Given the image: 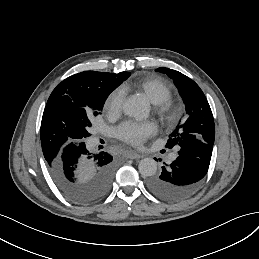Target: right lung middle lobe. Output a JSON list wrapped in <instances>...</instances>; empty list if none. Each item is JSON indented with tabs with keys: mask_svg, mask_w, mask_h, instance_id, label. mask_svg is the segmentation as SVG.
Listing matches in <instances>:
<instances>
[{
	"mask_svg": "<svg viewBox=\"0 0 259 259\" xmlns=\"http://www.w3.org/2000/svg\"><path fill=\"white\" fill-rule=\"evenodd\" d=\"M112 91V89H108L95 95L92 100V108L86 112L81 122L67 133L70 144L84 142V140L90 136L89 128L92 125L91 119L100 113L105 100Z\"/></svg>",
	"mask_w": 259,
	"mask_h": 259,
	"instance_id": "1",
	"label": "right lung middle lobe"
}]
</instances>
